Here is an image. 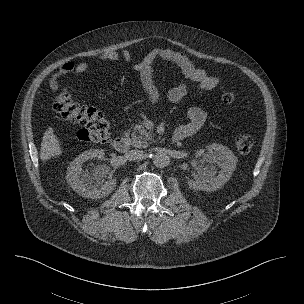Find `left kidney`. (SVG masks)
<instances>
[{"label":"left kidney","mask_w":304,"mask_h":304,"mask_svg":"<svg viewBox=\"0 0 304 304\" xmlns=\"http://www.w3.org/2000/svg\"><path fill=\"white\" fill-rule=\"evenodd\" d=\"M207 162L216 163L221 170L215 176L216 171L212 168L202 167L198 169V180H189L188 186L193 190L215 191L230 179L236 168L237 157L233 152L222 144L213 143L208 146V154H206Z\"/></svg>","instance_id":"obj_1"}]
</instances>
